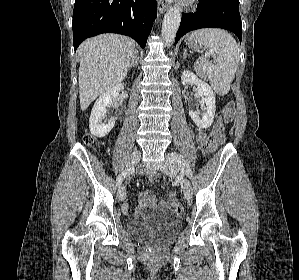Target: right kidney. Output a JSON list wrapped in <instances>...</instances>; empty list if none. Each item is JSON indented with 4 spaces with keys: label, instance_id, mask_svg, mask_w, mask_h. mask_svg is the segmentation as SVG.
I'll list each match as a JSON object with an SVG mask.
<instances>
[{
    "label": "right kidney",
    "instance_id": "1",
    "mask_svg": "<svg viewBox=\"0 0 299 280\" xmlns=\"http://www.w3.org/2000/svg\"><path fill=\"white\" fill-rule=\"evenodd\" d=\"M121 88L122 84H118L104 92L96 100L89 118V128L94 136L105 137L113 129L116 117L109 119L106 124L102 123V119L105 117L107 107L111 106L112 101L118 98Z\"/></svg>",
    "mask_w": 299,
    "mask_h": 280
}]
</instances>
